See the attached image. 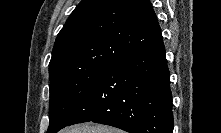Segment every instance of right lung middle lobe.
<instances>
[{
  "label": "right lung middle lobe",
  "mask_w": 221,
  "mask_h": 133,
  "mask_svg": "<svg viewBox=\"0 0 221 133\" xmlns=\"http://www.w3.org/2000/svg\"><path fill=\"white\" fill-rule=\"evenodd\" d=\"M110 65L64 68L50 74V110L47 133L68 125L86 104L104 71Z\"/></svg>",
  "instance_id": "right-lung-middle-lobe-1"
}]
</instances>
